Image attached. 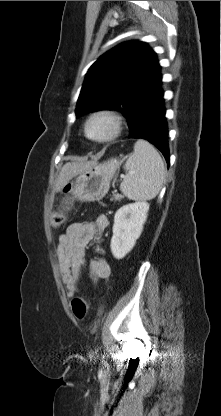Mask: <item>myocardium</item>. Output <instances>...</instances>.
Returning a JSON list of instances; mask_svg holds the SVG:
<instances>
[{"label": "myocardium", "instance_id": "1", "mask_svg": "<svg viewBox=\"0 0 221 416\" xmlns=\"http://www.w3.org/2000/svg\"><path fill=\"white\" fill-rule=\"evenodd\" d=\"M98 119L106 120L109 124L108 131L102 136H93L90 133V125ZM122 130L121 116L111 109H100L92 112L85 121L84 134L92 142L105 143L115 139Z\"/></svg>", "mask_w": 221, "mask_h": 416}]
</instances>
